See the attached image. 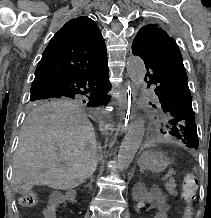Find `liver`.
<instances>
[{"instance_id":"1","label":"liver","mask_w":211,"mask_h":218,"mask_svg":"<svg viewBox=\"0 0 211 218\" xmlns=\"http://www.w3.org/2000/svg\"><path fill=\"white\" fill-rule=\"evenodd\" d=\"M94 128L73 106H40L27 116L15 156L16 184L29 182L68 190L91 178L97 168Z\"/></svg>"}]
</instances>
